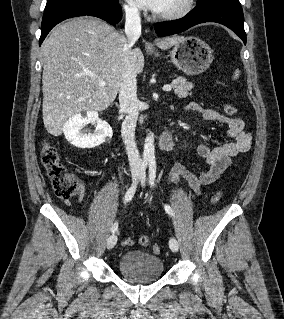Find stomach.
<instances>
[{"label": "stomach", "mask_w": 284, "mask_h": 319, "mask_svg": "<svg viewBox=\"0 0 284 319\" xmlns=\"http://www.w3.org/2000/svg\"><path fill=\"white\" fill-rule=\"evenodd\" d=\"M209 45L196 37H182L170 53L171 62L187 75H198L212 63L213 55ZM159 56L158 54H155Z\"/></svg>", "instance_id": "stomach-1"}]
</instances>
